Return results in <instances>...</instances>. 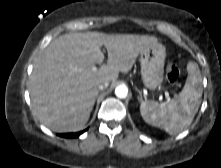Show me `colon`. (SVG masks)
Returning <instances> with one entry per match:
<instances>
[{
  "label": "colon",
  "instance_id": "5ec220e1",
  "mask_svg": "<svg viewBox=\"0 0 221 168\" xmlns=\"http://www.w3.org/2000/svg\"><path fill=\"white\" fill-rule=\"evenodd\" d=\"M180 76V70L178 68L177 65H175L174 63H168L166 65V77L167 80L171 83V84H175Z\"/></svg>",
  "mask_w": 221,
  "mask_h": 168
}]
</instances>
